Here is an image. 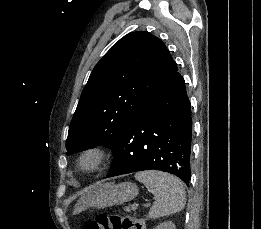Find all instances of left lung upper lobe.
I'll use <instances>...</instances> for the list:
<instances>
[{
	"label": "left lung upper lobe",
	"instance_id": "1",
	"mask_svg": "<svg viewBox=\"0 0 261 229\" xmlns=\"http://www.w3.org/2000/svg\"><path fill=\"white\" fill-rule=\"evenodd\" d=\"M177 70L164 43L149 32L121 38L96 64L81 94L67 154L101 144L114 152L145 100Z\"/></svg>",
	"mask_w": 261,
	"mask_h": 229
}]
</instances>
